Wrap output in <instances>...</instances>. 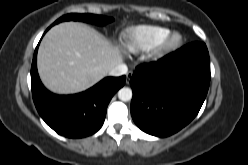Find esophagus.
I'll return each mask as SVG.
<instances>
[{
    "instance_id": "esophagus-1",
    "label": "esophagus",
    "mask_w": 248,
    "mask_h": 165,
    "mask_svg": "<svg viewBox=\"0 0 248 165\" xmlns=\"http://www.w3.org/2000/svg\"><path fill=\"white\" fill-rule=\"evenodd\" d=\"M132 75H133V72H132V71H129V72L126 74V78H127V79H126V83H127V84L129 83V81H130Z\"/></svg>"
}]
</instances>
